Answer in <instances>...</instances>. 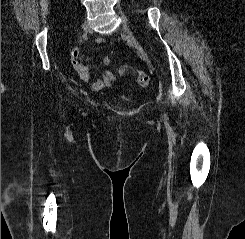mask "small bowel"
Segmentation results:
<instances>
[{
	"label": "small bowel",
	"mask_w": 245,
	"mask_h": 239,
	"mask_svg": "<svg viewBox=\"0 0 245 239\" xmlns=\"http://www.w3.org/2000/svg\"><path fill=\"white\" fill-rule=\"evenodd\" d=\"M105 43L103 38H98L96 44L101 46ZM85 57L82 55L79 49H74L71 52V65L77 72L78 77L84 81L88 82L91 79V69L88 65L84 63ZM103 66H109L111 64V59L109 57H104L101 61ZM117 79V75L110 70H105L102 72L101 76L91 83V89L94 91H101L109 88L113 82Z\"/></svg>",
	"instance_id": "1"
}]
</instances>
